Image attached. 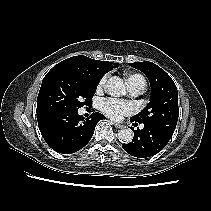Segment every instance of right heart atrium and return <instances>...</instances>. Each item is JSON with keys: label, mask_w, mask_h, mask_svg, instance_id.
Returning <instances> with one entry per match:
<instances>
[{"label": "right heart atrium", "mask_w": 211, "mask_h": 211, "mask_svg": "<svg viewBox=\"0 0 211 211\" xmlns=\"http://www.w3.org/2000/svg\"><path fill=\"white\" fill-rule=\"evenodd\" d=\"M106 81H107V76H103L98 83V88L102 89L104 87Z\"/></svg>", "instance_id": "d8ad5b80"}]
</instances>
